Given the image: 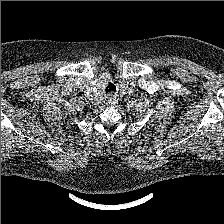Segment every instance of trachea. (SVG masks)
Segmentation results:
<instances>
[{
    "instance_id": "3493384b",
    "label": "trachea",
    "mask_w": 224,
    "mask_h": 224,
    "mask_svg": "<svg viewBox=\"0 0 224 224\" xmlns=\"http://www.w3.org/2000/svg\"><path fill=\"white\" fill-rule=\"evenodd\" d=\"M106 94H110L116 92V86L113 83L107 85L105 89Z\"/></svg>"
}]
</instances>
